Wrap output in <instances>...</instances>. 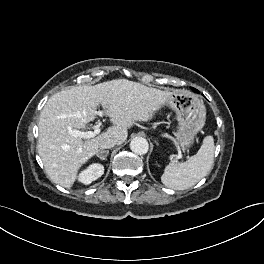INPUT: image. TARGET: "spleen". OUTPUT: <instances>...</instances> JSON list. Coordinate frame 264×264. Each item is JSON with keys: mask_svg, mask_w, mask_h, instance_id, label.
<instances>
[{"mask_svg": "<svg viewBox=\"0 0 264 264\" xmlns=\"http://www.w3.org/2000/svg\"><path fill=\"white\" fill-rule=\"evenodd\" d=\"M214 139L206 136L198 153L185 162H178L172 156L161 177L162 183L169 188L183 190L194 186L211 170L214 160Z\"/></svg>", "mask_w": 264, "mask_h": 264, "instance_id": "1", "label": "spleen"}]
</instances>
